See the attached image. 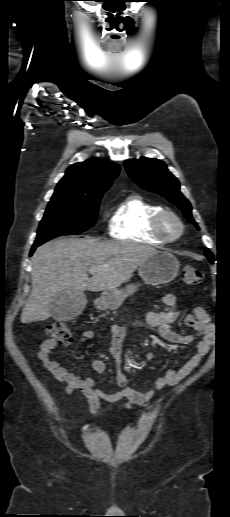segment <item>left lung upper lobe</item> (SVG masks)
<instances>
[{
    "label": "left lung upper lobe",
    "mask_w": 230,
    "mask_h": 517,
    "mask_svg": "<svg viewBox=\"0 0 230 517\" xmlns=\"http://www.w3.org/2000/svg\"><path fill=\"white\" fill-rule=\"evenodd\" d=\"M124 165L129 176L140 187L166 197L183 211L189 222L197 225L192 217L191 205L180 191L179 181L168 171L163 161L141 157L139 160H126ZM205 255L211 263L214 262L213 254L209 249L205 250Z\"/></svg>",
    "instance_id": "1"
}]
</instances>
